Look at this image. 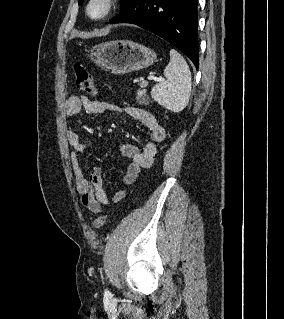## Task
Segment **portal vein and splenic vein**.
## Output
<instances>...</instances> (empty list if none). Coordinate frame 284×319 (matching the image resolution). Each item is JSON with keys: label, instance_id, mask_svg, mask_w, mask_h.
Returning <instances> with one entry per match:
<instances>
[{"label": "portal vein and splenic vein", "instance_id": "portal-vein-and-splenic-vein-1", "mask_svg": "<svg viewBox=\"0 0 284 319\" xmlns=\"http://www.w3.org/2000/svg\"><path fill=\"white\" fill-rule=\"evenodd\" d=\"M147 79H148V80H154V81H156V82L162 81V78H161V77H154L153 75H149V76L147 77Z\"/></svg>", "mask_w": 284, "mask_h": 319}]
</instances>
